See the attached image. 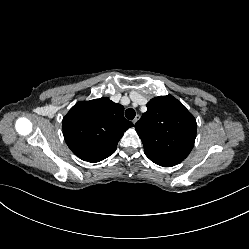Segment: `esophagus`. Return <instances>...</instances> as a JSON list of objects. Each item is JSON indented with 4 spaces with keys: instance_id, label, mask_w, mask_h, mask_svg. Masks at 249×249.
Here are the masks:
<instances>
[{
    "instance_id": "34e87169",
    "label": "esophagus",
    "mask_w": 249,
    "mask_h": 249,
    "mask_svg": "<svg viewBox=\"0 0 249 249\" xmlns=\"http://www.w3.org/2000/svg\"><path fill=\"white\" fill-rule=\"evenodd\" d=\"M140 119V116L139 115H137L134 119H133V124H135L138 120Z\"/></svg>"
}]
</instances>
